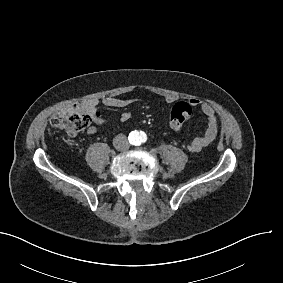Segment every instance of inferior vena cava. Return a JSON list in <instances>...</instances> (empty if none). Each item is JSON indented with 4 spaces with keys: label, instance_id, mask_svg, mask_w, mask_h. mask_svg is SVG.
Returning <instances> with one entry per match:
<instances>
[{
    "label": "inferior vena cava",
    "instance_id": "inferior-vena-cava-1",
    "mask_svg": "<svg viewBox=\"0 0 283 283\" xmlns=\"http://www.w3.org/2000/svg\"><path fill=\"white\" fill-rule=\"evenodd\" d=\"M113 145H114L115 149L118 150V151H126L130 147V144L127 140V137L124 134H118L113 139Z\"/></svg>",
    "mask_w": 283,
    "mask_h": 283
}]
</instances>
